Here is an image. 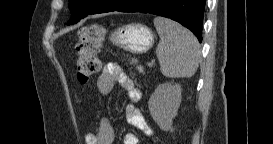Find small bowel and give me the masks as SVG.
<instances>
[{"label": "small bowel", "instance_id": "small-bowel-1", "mask_svg": "<svg viewBox=\"0 0 273 144\" xmlns=\"http://www.w3.org/2000/svg\"><path fill=\"white\" fill-rule=\"evenodd\" d=\"M118 84L124 91L129 103L126 106V118L130 125L140 129L147 136L153 135V130L147 123L140 110L135 106L141 98L140 90L135 86L134 81L126 75L115 64L106 65L101 71L97 88L103 95L108 94L113 86ZM114 140V130L107 120H103L96 133L85 135L86 144H112ZM124 144H138L139 139L135 133L128 132L123 137Z\"/></svg>", "mask_w": 273, "mask_h": 144}]
</instances>
